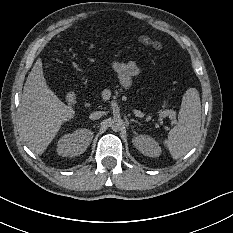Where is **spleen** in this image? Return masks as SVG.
<instances>
[{"instance_id":"3e777b00","label":"spleen","mask_w":233,"mask_h":233,"mask_svg":"<svg viewBox=\"0 0 233 233\" xmlns=\"http://www.w3.org/2000/svg\"><path fill=\"white\" fill-rule=\"evenodd\" d=\"M201 101L196 88H189L182 99L178 124L169 131L164 145L173 159L187 154L200 140Z\"/></svg>"}]
</instances>
